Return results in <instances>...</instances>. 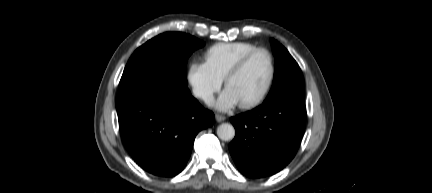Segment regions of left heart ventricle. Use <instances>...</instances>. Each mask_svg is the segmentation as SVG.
I'll list each match as a JSON object with an SVG mask.
<instances>
[{
    "label": "left heart ventricle",
    "instance_id": "obj_1",
    "mask_svg": "<svg viewBox=\"0 0 432 193\" xmlns=\"http://www.w3.org/2000/svg\"><path fill=\"white\" fill-rule=\"evenodd\" d=\"M270 74V62L267 54L260 52L230 81L228 89L239 103L257 97L267 84Z\"/></svg>",
    "mask_w": 432,
    "mask_h": 193
}]
</instances>
